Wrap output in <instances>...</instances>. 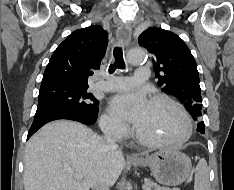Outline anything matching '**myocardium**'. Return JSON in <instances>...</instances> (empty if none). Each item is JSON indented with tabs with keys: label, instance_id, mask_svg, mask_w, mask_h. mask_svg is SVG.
I'll list each match as a JSON object with an SVG mask.
<instances>
[{
	"label": "myocardium",
	"instance_id": "myocardium-1",
	"mask_svg": "<svg viewBox=\"0 0 234 190\" xmlns=\"http://www.w3.org/2000/svg\"><path fill=\"white\" fill-rule=\"evenodd\" d=\"M166 102L174 107L181 115L184 121V132L176 139H150L143 136L140 131L135 128V136L139 142L147 146H179L187 142L192 136L193 126L191 118L182 104L166 94H156L152 96L150 102Z\"/></svg>",
	"mask_w": 234,
	"mask_h": 190
}]
</instances>
